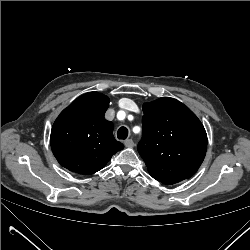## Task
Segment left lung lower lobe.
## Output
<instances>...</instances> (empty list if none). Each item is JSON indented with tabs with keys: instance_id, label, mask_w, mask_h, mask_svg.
Masks as SVG:
<instances>
[{
	"instance_id": "obj_1",
	"label": "left lung lower lobe",
	"mask_w": 250,
	"mask_h": 250,
	"mask_svg": "<svg viewBox=\"0 0 250 250\" xmlns=\"http://www.w3.org/2000/svg\"><path fill=\"white\" fill-rule=\"evenodd\" d=\"M164 184H174V183H164Z\"/></svg>"
}]
</instances>
